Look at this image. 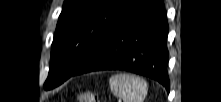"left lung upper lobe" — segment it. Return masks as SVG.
<instances>
[{"instance_id":"obj_1","label":"left lung upper lobe","mask_w":221,"mask_h":102,"mask_svg":"<svg viewBox=\"0 0 221 102\" xmlns=\"http://www.w3.org/2000/svg\"><path fill=\"white\" fill-rule=\"evenodd\" d=\"M135 0H65L44 89L62 84L87 60Z\"/></svg>"}]
</instances>
